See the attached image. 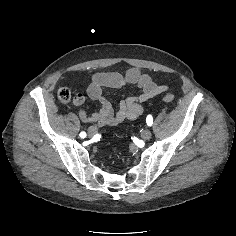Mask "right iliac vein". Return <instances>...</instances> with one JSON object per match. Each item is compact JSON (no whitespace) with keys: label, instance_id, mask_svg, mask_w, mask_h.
I'll return each mask as SVG.
<instances>
[{"label":"right iliac vein","instance_id":"right-iliac-vein-1","mask_svg":"<svg viewBox=\"0 0 236 236\" xmlns=\"http://www.w3.org/2000/svg\"><path fill=\"white\" fill-rule=\"evenodd\" d=\"M96 132H97L96 127L91 126V127L88 129V136H89V137H92Z\"/></svg>","mask_w":236,"mask_h":236}]
</instances>
